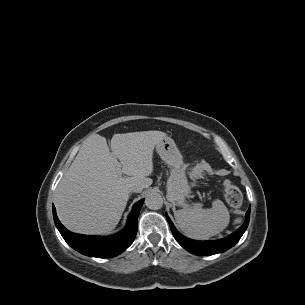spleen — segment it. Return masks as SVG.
Here are the masks:
<instances>
[{
  "label": "spleen",
  "mask_w": 305,
  "mask_h": 305,
  "mask_svg": "<svg viewBox=\"0 0 305 305\" xmlns=\"http://www.w3.org/2000/svg\"><path fill=\"white\" fill-rule=\"evenodd\" d=\"M176 223L188 237L205 240L223 231L229 224V212L224 203L216 199L212 207L203 209L195 205L191 209L174 212Z\"/></svg>",
  "instance_id": "1"
}]
</instances>
